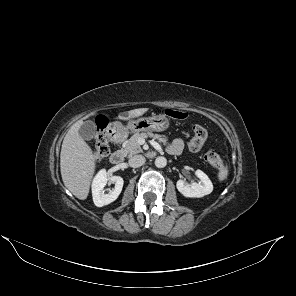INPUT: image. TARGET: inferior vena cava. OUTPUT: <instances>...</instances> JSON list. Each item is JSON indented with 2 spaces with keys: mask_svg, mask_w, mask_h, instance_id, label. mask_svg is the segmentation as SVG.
Listing matches in <instances>:
<instances>
[{
  "mask_svg": "<svg viewBox=\"0 0 296 296\" xmlns=\"http://www.w3.org/2000/svg\"><path fill=\"white\" fill-rule=\"evenodd\" d=\"M145 163V157L142 155H135L129 159V165L131 167H140Z\"/></svg>",
  "mask_w": 296,
  "mask_h": 296,
  "instance_id": "inferior-vena-cava-1",
  "label": "inferior vena cava"
}]
</instances>
